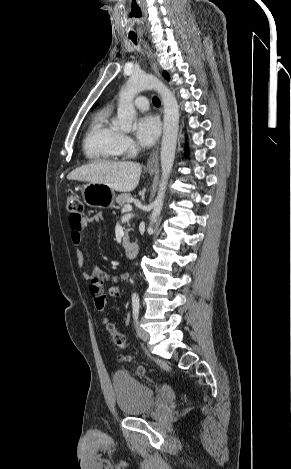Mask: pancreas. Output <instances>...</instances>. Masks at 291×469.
<instances>
[{
  "label": "pancreas",
  "instance_id": "obj_1",
  "mask_svg": "<svg viewBox=\"0 0 291 469\" xmlns=\"http://www.w3.org/2000/svg\"><path fill=\"white\" fill-rule=\"evenodd\" d=\"M132 196L129 193L125 194H120L116 198V202L119 206H124L126 203H128L131 200ZM128 240V234H125V237L123 239L124 242Z\"/></svg>",
  "mask_w": 291,
  "mask_h": 469
}]
</instances>
